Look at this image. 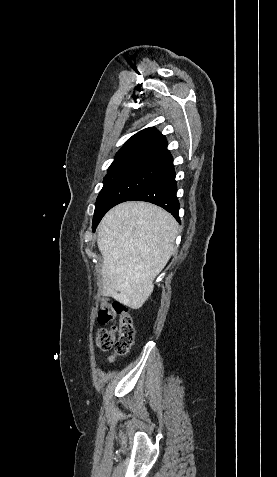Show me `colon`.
Segmentation results:
<instances>
[{
	"label": "colon",
	"mask_w": 277,
	"mask_h": 477,
	"mask_svg": "<svg viewBox=\"0 0 277 477\" xmlns=\"http://www.w3.org/2000/svg\"><path fill=\"white\" fill-rule=\"evenodd\" d=\"M98 322L101 325L108 323L112 325L97 330L95 335L97 347L104 351L113 349L112 360L128 354L135 336L128 308L121 302L104 300L98 313ZM115 322H118V325Z\"/></svg>",
	"instance_id": "1"
}]
</instances>
